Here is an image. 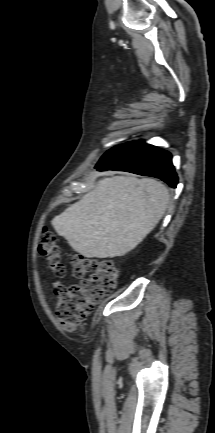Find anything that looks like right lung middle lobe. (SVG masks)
I'll list each match as a JSON object with an SVG mask.
<instances>
[{
  "label": "right lung middle lobe",
  "instance_id": "1",
  "mask_svg": "<svg viewBox=\"0 0 215 433\" xmlns=\"http://www.w3.org/2000/svg\"><path fill=\"white\" fill-rule=\"evenodd\" d=\"M131 143L132 142H128V143H125V144H122V145H119V146H116V147L110 149L101 157L98 164L106 162L107 160L112 158L114 155H116L117 153H119L120 151L125 149L127 146H129Z\"/></svg>",
  "mask_w": 215,
  "mask_h": 433
}]
</instances>
